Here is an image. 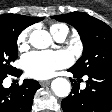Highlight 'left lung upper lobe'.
Returning a JSON list of instances; mask_svg holds the SVG:
<instances>
[{
	"label": "left lung upper lobe",
	"instance_id": "obj_1",
	"mask_svg": "<svg viewBox=\"0 0 112 112\" xmlns=\"http://www.w3.org/2000/svg\"><path fill=\"white\" fill-rule=\"evenodd\" d=\"M78 31L82 43V57L70 68L80 75L112 69V29L103 21L86 13L72 12L52 16Z\"/></svg>",
	"mask_w": 112,
	"mask_h": 112
}]
</instances>
